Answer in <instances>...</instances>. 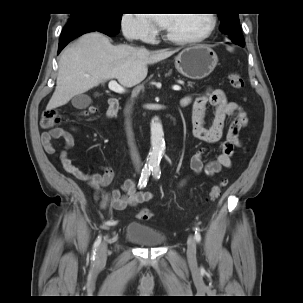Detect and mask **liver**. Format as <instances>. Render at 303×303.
Segmentation results:
<instances>
[{
	"mask_svg": "<svg viewBox=\"0 0 303 303\" xmlns=\"http://www.w3.org/2000/svg\"><path fill=\"white\" fill-rule=\"evenodd\" d=\"M174 52L167 49L150 52L129 45L114 46L102 33L85 34L61 54L56 88L47 110L63 106L74 96L109 79H117L128 88L138 85L147 76L148 64L164 60Z\"/></svg>",
	"mask_w": 303,
	"mask_h": 303,
	"instance_id": "liver-1",
	"label": "liver"
}]
</instances>
